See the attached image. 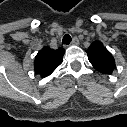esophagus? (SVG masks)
Returning a JSON list of instances; mask_svg holds the SVG:
<instances>
[{"label": "esophagus", "instance_id": "esophagus-1", "mask_svg": "<svg viewBox=\"0 0 127 127\" xmlns=\"http://www.w3.org/2000/svg\"><path fill=\"white\" fill-rule=\"evenodd\" d=\"M71 44H72V45H79V40H78V38H77V37H74V38L72 39V41H71Z\"/></svg>", "mask_w": 127, "mask_h": 127}]
</instances>
